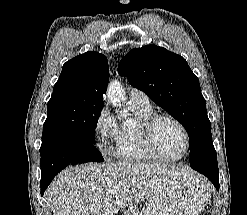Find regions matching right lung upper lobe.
<instances>
[{
    "instance_id": "right-lung-upper-lobe-1",
    "label": "right lung upper lobe",
    "mask_w": 247,
    "mask_h": 215,
    "mask_svg": "<svg viewBox=\"0 0 247 215\" xmlns=\"http://www.w3.org/2000/svg\"><path fill=\"white\" fill-rule=\"evenodd\" d=\"M109 81L107 58L97 52H86L63 65L53 92L70 90L75 96L103 103Z\"/></svg>"
}]
</instances>
